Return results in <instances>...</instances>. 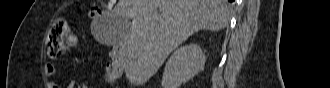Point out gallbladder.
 I'll use <instances>...</instances> for the list:
<instances>
[{"label":"gallbladder","instance_id":"1","mask_svg":"<svg viewBox=\"0 0 330 88\" xmlns=\"http://www.w3.org/2000/svg\"><path fill=\"white\" fill-rule=\"evenodd\" d=\"M130 25H131L130 20H125L120 25L116 22H112L111 24L107 25L104 29V34L109 44L111 45L117 43L116 36H118L119 33L127 32Z\"/></svg>","mask_w":330,"mask_h":88}]
</instances>
